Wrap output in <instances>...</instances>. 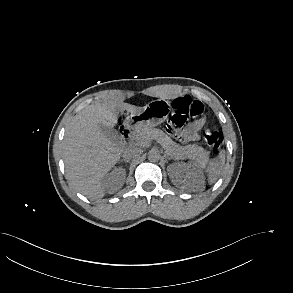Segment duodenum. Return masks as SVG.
<instances>
[{
	"label": "duodenum",
	"instance_id": "1",
	"mask_svg": "<svg viewBox=\"0 0 293 293\" xmlns=\"http://www.w3.org/2000/svg\"><path fill=\"white\" fill-rule=\"evenodd\" d=\"M132 131H133L132 125H125L120 129V134L125 142L129 141Z\"/></svg>",
	"mask_w": 293,
	"mask_h": 293
}]
</instances>
